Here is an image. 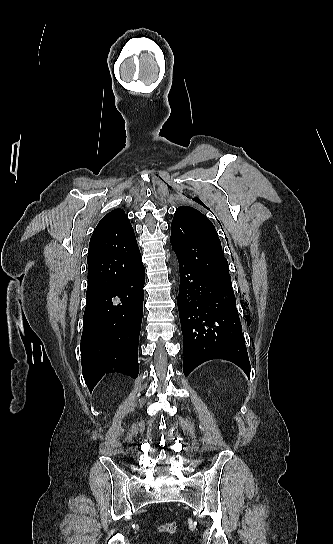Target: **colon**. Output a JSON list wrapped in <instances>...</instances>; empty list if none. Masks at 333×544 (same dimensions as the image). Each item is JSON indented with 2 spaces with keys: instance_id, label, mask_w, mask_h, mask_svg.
<instances>
[{
  "instance_id": "obj_1",
  "label": "colon",
  "mask_w": 333,
  "mask_h": 544,
  "mask_svg": "<svg viewBox=\"0 0 333 544\" xmlns=\"http://www.w3.org/2000/svg\"><path fill=\"white\" fill-rule=\"evenodd\" d=\"M176 530L175 522H165L158 526V531L163 534H171Z\"/></svg>"
}]
</instances>
